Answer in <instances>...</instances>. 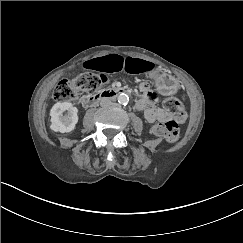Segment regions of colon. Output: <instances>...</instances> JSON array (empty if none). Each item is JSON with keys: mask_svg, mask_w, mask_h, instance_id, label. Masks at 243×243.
Segmentation results:
<instances>
[{"mask_svg": "<svg viewBox=\"0 0 243 243\" xmlns=\"http://www.w3.org/2000/svg\"><path fill=\"white\" fill-rule=\"evenodd\" d=\"M107 82L108 79L104 75L82 73L72 80L60 81L53 91V97L60 102L75 101L82 92H95ZM163 106L171 119L156 124L153 132L168 142H175L179 135L178 124L183 123L186 119L184 105L179 99L169 97L164 99Z\"/></svg>", "mask_w": 243, "mask_h": 243, "instance_id": "5ec220e1", "label": "colon"}]
</instances>
